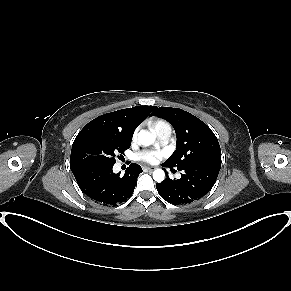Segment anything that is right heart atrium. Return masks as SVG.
I'll list each match as a JSON object with an SVG mask.
<instances>
[{
	"instance_id": "obj_1",
	"label": "right heart atrium",
	"mask_w": 291,
	"mask_h": 291,
	"mask_svg": "<svg viewBox=\"0 0 291 291\" xmlns=\"http://www.w3.org/2000/svg\"><path fill=\"white\" fill-rule=\"evenodd\" d=\"M137 133H138V128L135 129V131L133 132V135H132L133 140L136 139Z\"/></svg>"
}]
</instances>
